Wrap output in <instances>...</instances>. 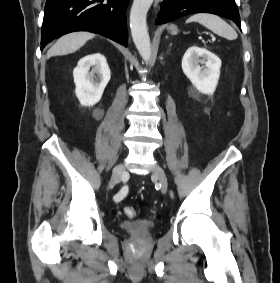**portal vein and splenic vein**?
Returning a JSON list of instances; mask_svg holds the SVG:
<instances>
[{
	"label": "portal vein and splenic vein",
	"mask_w": 280,
	"mask_h": 283,
	"mask_svg": "<svg viewBox=\"0 0 280 283\" xmlns=\"http://www.w3.org/2000/svg\"><path fill=\"white\" fill-rule=\"evenodd\" d=\"M215 39H216V38L213 36V37H212V40L215 41Z\"/></svg>",
	"instance_id": "1"
}]
</instances>
